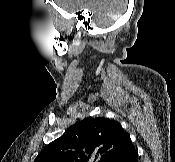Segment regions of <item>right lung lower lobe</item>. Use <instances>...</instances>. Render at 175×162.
<instances>
[{
	"label": "right lung lower lobe",
	"instance_id": "98d812e1",
	"mask_svg": "<svg viewBox=\"0 0 175 162\" xmlns=\"http://www.w3.org/2000/svg\"><path fill=\"white\" fill-rule=\"evenodd\" d=\"M112 162H138V152L135 147L132 146L124 153L116 156Z\"/></svg>",
	"mask_w": 175,
	"mask_h": 162
}]
</instances>
